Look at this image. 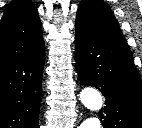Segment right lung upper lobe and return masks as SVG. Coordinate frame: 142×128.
Returning <instances> with one entry per match:
<instances>
[{"label": "right lung upper lobe", "mask_w": 142, "mask_h": 128, "mask_svg": "<svg viewBox=\"0 0 142 128\" xmlns=\"http://www.w3.org/2000/svg\"><path fill=\"white\" fill-rule=\"evenodd\" d=\"M38 11L30 0H14L0 22V68L31 53L42 42Z\"/></svg>", "instance_id": "obj_1"}]
</instances>
